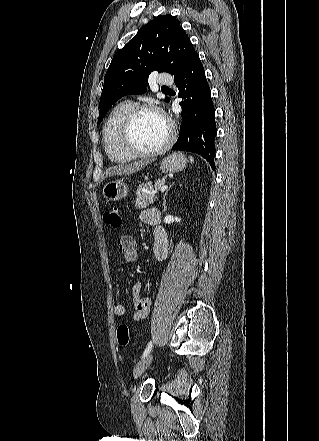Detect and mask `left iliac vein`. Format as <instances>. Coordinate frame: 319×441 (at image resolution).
I'll list each match as a JSON object with an SVG mask.
<instances>
[{
    "mask_svg": "<svg viewBox=\"0 0 319 441\" xmlns=\"http://www.w3.org/2000/svg\"><path fill=\"white\" fill-rule=\"evenodd\" d=\"M152 359V354H149L140 360L133 369L134 377H139L150 366Z\"/></svg>",
    "mask_w": 319,
    "mask_h": 441,
    "instance_id": "4c4485c4",
    "label": "left iliac vein"
}]
</instances>
